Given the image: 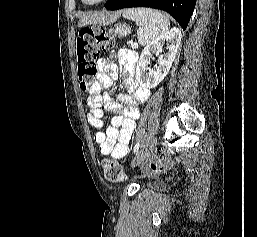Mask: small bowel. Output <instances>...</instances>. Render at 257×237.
Masks as SVG:
<instances>
[{"label": "small bowel", "mask_w": 257, "mask_h": 237, "mask_svg": "<svg viewBox=\"0 0 257 237\" xmlns=\"http://www.w3.org/2000/svg\"><path fill=\"white\" fill-rule=\"evenodd\" d=\"M119 61L123 68L122 80L126 94L114 95L101 92L102 89L109 88L118 76V67L105 59L98 61L97 80L87 90L89 106L87 120L96 129L94 140L103 155L116 160L128 154L136 120L139 118V106L150 95L149 90L140 87L133 76L136 54L130 50H123L120 52ZM104 109L112 114L111 123L106 128L103 121Z\"/></svg>", "instance_id": "obj_1"}]
</instances>
